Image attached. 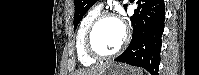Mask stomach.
<instances>
[{"label":"stomach","instance_id":"0dacf381","mask_svg":"<svg viewBox=\"0 0 199 75\" xmlns=\"http://www.w3.org/2000/svg\"><path fill=\"white\" fill-rule=\"evenodd\" d=\"M102 75H142V71L120 63H113L108 66Z\"/></svg>","mask_w":199,"mask_h":75}]
</instances>
